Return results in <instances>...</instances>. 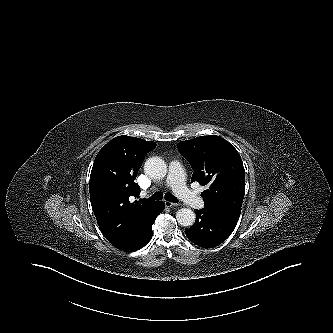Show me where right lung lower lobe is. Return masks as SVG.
<instances>
[{"label":"right lung lower lobe","instance_id":"1","mask_svg":"<svg viewBox=\"0 0 333 333\" xmlns=\"http://www.w3.org/2000/svg\"><path fill=\"white\" fill-rule=\"evenodd\" d=\"M164 208H165L164 203L159 202L158 209H157L156 214L153 217V219L145 225V227L142 229L141 233L137 236L135 241L129 247L124 249L125 252L136 251V250L144 247L150 241L152 234H153L152 225H153L155 219L157 218V216L164 210Z\"/></svg>","mask_w":333,"mask_h":333}]
</instances>
